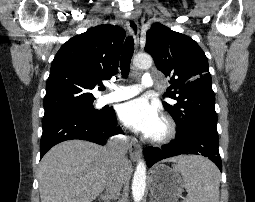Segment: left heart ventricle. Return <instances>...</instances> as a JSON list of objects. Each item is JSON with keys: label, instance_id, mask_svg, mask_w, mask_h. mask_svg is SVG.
Segmentation results:
<instances>
[{"label": "left heart ventricle", "instance_id": "1", "mask_svg": "<svg viewBox=\"0 0 255 202\" xmlns=\"http://www.w3.org/2000/svg\"><path fill=\"white\" fill-rule=\"evenodd\" d=\"M163 132V125L160 122L159 125L157 126V128L155 129V131L153 132L152 135H159Z\"/></svg>", "mask_w": 255, "mask_h": 202}]
</instances>
